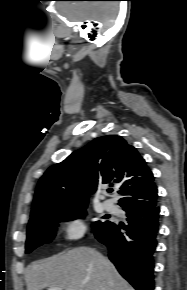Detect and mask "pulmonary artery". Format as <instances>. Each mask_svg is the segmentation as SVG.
<instances>
[{
	"instance_id": "1",
	"label": "pulmonary artery",
	"mask_w": 187,
	"mask_h": 290,
	"mask_svg": "<svg viewBox=\"0 0 187 290\" xmlns=\"http://www.w3.org/2000/svg\"><path fill=\"white\" fill-rule=\"evenodd\" d=\"M103 207L108 212H116V210H117L115 204L112 201H110V200L104 201L103 202Z\"/></svg>"
}]
</instances>
